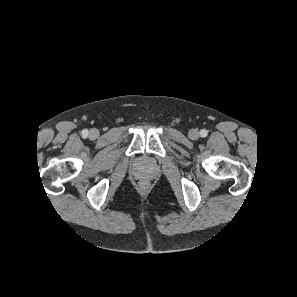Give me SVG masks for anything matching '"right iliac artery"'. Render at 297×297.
Segmentation results:
<instances>
[{
  "instance_id": "right-iliac-artery-1",
  "label": "right iliac artery",
  "mask_w": 297,
  "mask_h": 297,
  "mask_svg": "<svg viewBox=\"0 0 297 297\" xmlns=\"http://www.w3.org/2000/svg\"><path fill=\"white\" fill-rule=\"evenodd\" d=\"M82 135L85 137V136H87L88 135V130H83L82 131Z\"/></svg>"
}]
</instances>
